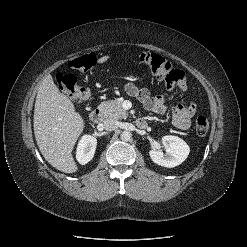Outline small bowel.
I'll list each match as a JSON object with an SVG mask.
<instances>
[{
	"label": "small bowel",
	"mask_w": 247,
	"mask_h": 247,
	"mask_svg": "<svg viewBox=\"0 0 247 247\" xmlns=\"http://www.w3.org/2000/svg\"><path fill=\"white\" fill-rule=\"evenodd\" d=\"M175 85L181 91H186L187 89L185 79ZM175 85L169 87L172 88ZM125 91L130 96L137 98L143 104L144 108L150 112L164 114L171 110L173 112V124L178 129L188 130L190 128L191 119L197 111V105L195 102L191 101L188 104L180 103L171 106L166 102L163 95H152L148 88H139L131 82L125 85Z\"/></svg>",
	"instance_id": "c3829d8e"
}]
</instances>
